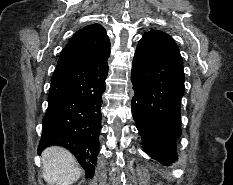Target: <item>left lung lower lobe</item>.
I'll use <instances>...</instances> for the list:
<instances>
[{"instance_id": "1", "label": "left lung lower lobe", "mask_w": 233, "mask_h": 185, "mask_svg": "<svg viewBox=\"0 0 233 185\" xmlns=\"http://www.w3.org/2000/svg\"><path fill=\"white\" fill-rule=\"evenodd\" d=\"M184 81L180 53L142 37L132 63V114L147 153L161 163L177 158Z\"/></svg>"}]
</instances>
